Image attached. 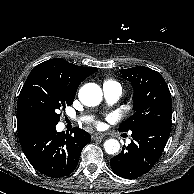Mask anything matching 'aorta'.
<instances>
[{
	"label": "aorta",
	"mask_w": 194,
	"mask_h": 194,
	"mask_svg": "<svg viewBox=\"0 0 194 194\" xmlns=\"http://www.w3.org/2000/svg\"><path fill=\"white\" fill-rule=\"evenodd\" d=\"M79 100L86 106H97L102 100V90L95 83H88L79 90ZM104 149L108 154H115L120 149V143L116 139H108L104 142Z\"/></svg>",
	"instance_id": "obj_1"
}]
</instances>
